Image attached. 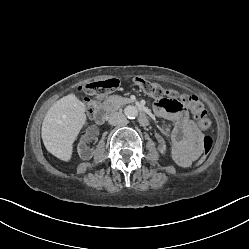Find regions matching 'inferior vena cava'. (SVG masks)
<instances>
[{"instance_id": "1", "label": "inferior vena cava", "mask_w": 249, "mask_h": 249, "mask_svg": "<svg viewBox=\"0 0 249 249\" xmlns=\"http://www.w3.org/2000/svg\"><path fill=\"white\" fill-rule=\"evenodd\" d=\"M108 123L110 125H121L126 123V117L122 112H114L109 116Z\"/></svg>"}]
</instances>
